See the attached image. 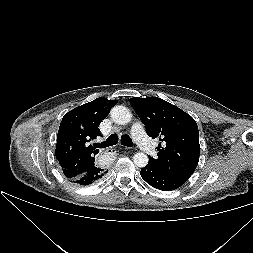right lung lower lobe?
I'll return each mask as SVG.
<instances>
[{
	"mask_svg": "<svg viewBox=\"0 0 253 253\" xmlns=\"http://www.w3.org/2000/svg\"><path fill=\"white\" fill-rule=\"evenodd\" d=\"M106 172L107 171H104L103 169H100L99 167L95 166L91 168L86 174L71 181L80 186H87L101 179Z\"/></svg>",
	"mask_w": 253,
	"mask_h": 253,
	"instance_id": "right-lung-lower-lobe-1",
	"label": "right lung lower lobe"
}]
</instances>
